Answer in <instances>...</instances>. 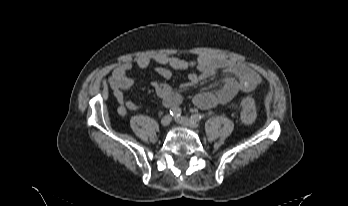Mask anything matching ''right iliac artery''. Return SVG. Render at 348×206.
Here are the masks:
<instances>
[{
	"label": "right iliac artery",
	"instance_id": "82829eb1",
	"mask_svg": "<svg viewBox=\"0 0 348 206\" xmlns=\"http://www.w3.org/2000/svg\"><path fill=\"white\" fill-rule=\"evenodd\" d=\"M170 115H172L173 117H180L181 115V109L177 108V107H173L170 109Z\"/></svg>",
	"mask_w": 348,
	"mask_h": 206
}]
</instances>
